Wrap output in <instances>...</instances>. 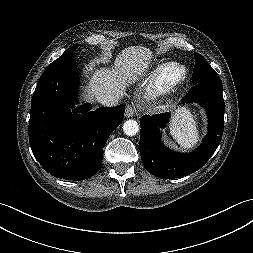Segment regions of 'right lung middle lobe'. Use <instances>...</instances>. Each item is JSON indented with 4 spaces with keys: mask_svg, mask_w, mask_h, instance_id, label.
I'll return each instance as SVG.
<instances>
[{
    "mask_svg": "<svg viewBox=\"0 0 253 253\" xmlns=\"http://www.w3.org/2000/svg\"><path fill=\"white\" fill-rule=\"evenodd\" d=\"M79 45H74L72 46L69 50H67L66 52H64L58 59H56L54 62H52L48 67L53 66L55 64L61 63L62 61L67 60L72 52L78 47Z\"/></svg>",
    "mask_w": 253,
    "mask_h": 253,
    "instance_id": "right-lung-middle-lobe-1",
    "label": "right lung middle lobe"
}]
</instances>
